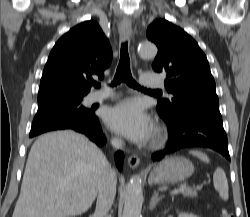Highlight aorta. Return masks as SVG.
Instances as JSON below:
<instances>
[{"mask_svg":"<svg viewBox=\"0 0 250 217\" xmlns=\"http://www.w3.org/2000/svg\"><path fill=\"white\" fill-rule=\"evenodd\" d=\"M138 52L142 57L154 58L157 48L154 44L142 43L139 45ZM142 203V180L136 175L128 184L122 217H141Z\"/></svg>","mask_w":250,"mask_h":217,"instance_id":"obj_1","label":"aorta"}]
</instances>
